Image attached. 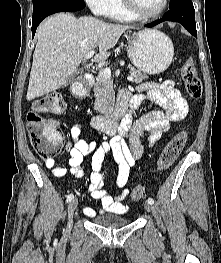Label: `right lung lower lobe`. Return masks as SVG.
Instances as JSON below:
<instances>
[{"instance_id": "right-lung-lower-lobe-1", "label": "right lung lower lobe", "mask_w": 221, "mask_h": 263, "mask_svg": "<svg viewBox=\"0 0 221 263\" xmlns=\"http://www.w3.org/2000/svg\"><path fill=\"white\" fill-rule=\"evenodd\" d=\"M85 3L84 2H79V3H66V4H58V5H53L44 9H41L37 12L33 13L32 17V37H34L37 26L40 24V22L46 18L47 16L58 13V12H74L81 10L85 8Z\"/></svg>"}]
</instances>
